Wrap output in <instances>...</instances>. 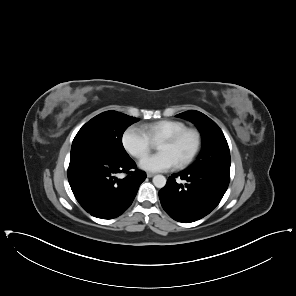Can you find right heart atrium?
Returning a JSON list of instances; mask_svg holds the SVG:
<instances>
[{
  "mask_svg": "<svg viewBox=\"0 0 296 296\" xmlns=\"http://www.w3.org/2000/svg\"><path fill=\"white\" fill-rule=\"evenodd\" d=\"M124 141L127 149L132 154H138L136 147H141L143 152H148L151 148L150 142L143 133L135 134L129 131L125 134Z\"/></svg>",
  "mask_w": 296,
  "mask_h": 296,
  "instance_id": "obj_1",
  "label": "right heart atrium"
}]
</instances>
